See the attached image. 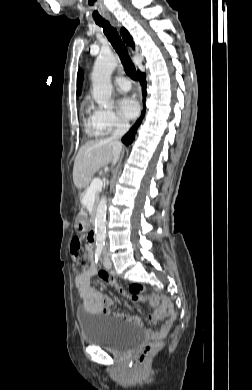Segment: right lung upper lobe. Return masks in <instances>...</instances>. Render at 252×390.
I'll return each instance as SVG.
<instances>
[{
    "mask_svg": "<svg viewBox=\"0 0 252 390\" xmlns=\"http://www.w3.org/2000/svg\"><path fill=\"white\" fill-rule=\"evenodd\" d=\"M121 34H122V37L125 40V42L134 48V43H133L132 37L130 36V34L128 33V31L125 28H122ZM82 79H83V75H82L81 70H79L78 75H77V94L79 93V88L81 86Z\"/></svg>",
    "mask_w": 252,
    "mask_h": 390,
    "instance_id": "right-lung-upper-lobe-1",
    "label": "right lung upper lobe"
}]
</instances>
